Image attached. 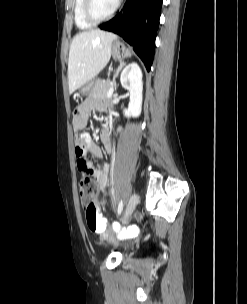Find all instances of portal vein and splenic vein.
Wrapping results in <instances>:
<instances>
[{
  "label": "portal vein and splenic vein",
  "instance_id": "obj_1",
  "mask_svg": "<svg viewBox=\"0 0 247 304\" xmlns=\"http://www.w3.org/2000/svg\"><path fill=\"white\" fill-rule=\"evenodd\" d=\"M112 93H113V88L111 87L110 90H109L108 95H111Z\"/></svg>",
  "mask_w": 247,
  "mask_h": 304
}]
</instances>
